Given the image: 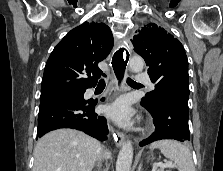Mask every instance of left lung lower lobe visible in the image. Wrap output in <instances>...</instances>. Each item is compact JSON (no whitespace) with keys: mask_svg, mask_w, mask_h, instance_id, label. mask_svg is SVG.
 <instances>
[{"mask_svg":"<svg viewBox=\"0 0 223 171\" xmlns=\"http://www.w3.org/2000/svg\"><path fill=\"white\" fill-rule=\"evenodd\" d=\"M144 107L153 117L155 132L141 141L140 146L162 139L190 140L188 103L176 96L165 95L153 107Z\"/></svg>","mask_w":223,"mask_h":171,"instance_id":"1","label":"left lung lower lobe"}]
</instances>
